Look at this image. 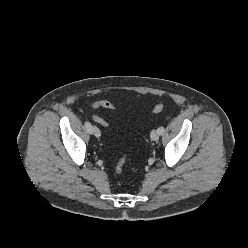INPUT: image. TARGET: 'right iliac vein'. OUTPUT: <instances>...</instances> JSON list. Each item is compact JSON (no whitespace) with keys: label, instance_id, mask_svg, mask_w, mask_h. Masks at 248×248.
<instances>
[{"label":"right iliac vein","instance_id":"obj_1","mask_svg":"<svg viewBox=\"0 0 248 248\" xmlns=\"http://www.w3.org/2000/svg\"><path fill=\"white\" fill-rule=\"evenodd\" d=\"M92 133H93L94 136H96V137H100V136H101V132H100V130H99L96 126H93V127H92Z\"/></svg>","mask_w":248,"mask_h":248}]
</instances>
